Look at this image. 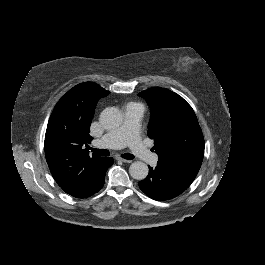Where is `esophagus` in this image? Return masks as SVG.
Instances as JSON below:
<instances>
[{"mask_svg": "<svg viewBox=\"0 0 265 265\" xmlns=\"http://www.w3.org/2000/svg\"><path fill=\"white\" fill-rule=\"evenodd\" d=\"M116 159H117V160H120V161H122V162H124V163H130V162H131V160L124 159V158H122V157H120V156H117Z\"/></svg>", "mask_w": 265, "mask_h": 265, "instance_id": "obj_1", "label": "esophagus"}]
</instances>
